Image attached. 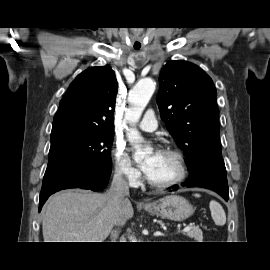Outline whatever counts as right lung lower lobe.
<instances>
[{
	"label": "right lung lower lobe",
	"mask_w": 270,
	"mask_h": 270,
	"mask_svg": "<svg viewBox=\"0 0 270 270\" xmlns=\"http://www.w3.org/2000/svg\"><path fill=\"white\" fill-rule=\"evenodd\" d=\"M111 171L92 170L84 160H74L45 172L39 199V211L53 193L68 188L102 190Z\"/></svg>",
	"instance_id": "obj_1"
}]
</instances>
